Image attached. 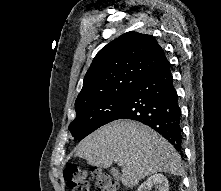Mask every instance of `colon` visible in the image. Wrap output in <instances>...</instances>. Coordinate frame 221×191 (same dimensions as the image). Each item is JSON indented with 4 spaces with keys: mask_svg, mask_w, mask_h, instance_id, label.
Wrapping results in <instances>:
<instances>
[{
    "mask_svg": "<svg viewBox=\"0 0 221 191\" xmlns=\"http://www.w3.org/2000/svg\"><path fill=\"white\" fill-rule=\"evenodd\" d=\"M88 176H90L98 191H119L118 183L107 173L97 169L87 171L75 163H70L64 170V178L70 191H90Z\"/></svg>",
    "mask_w": 221,
    "mask_h": 191,
    "instance_id": "1",
    "label": "colon"
}]
</instances>
